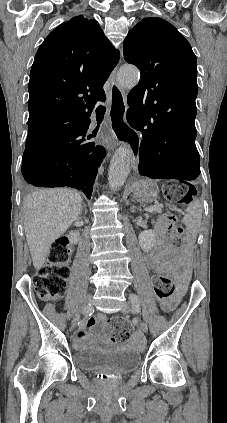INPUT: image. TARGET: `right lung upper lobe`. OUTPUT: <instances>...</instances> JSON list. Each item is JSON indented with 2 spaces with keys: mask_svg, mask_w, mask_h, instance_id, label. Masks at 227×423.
Listing matches in <instances>:
<instances>
[{
  "mask_svg": "<svg viewBox=\"0 0 227 423\" xmlns=\"http://www.w3.org/2000/svg\"><path fill=\"white\" fill-rule=\"evenodd\" d=\"M119 52L95 20L76 16L55 28L39 47L30 72L28 109L38 106H91L105 101L103 85ZM73 118L28 120L26 148L72 125Z\"/></svg>",
  "mask_w": 227,
  "mask_h": 423,
  "instance_id": "1",
  "label": "right lung upper lobe"
}]
</instances>
